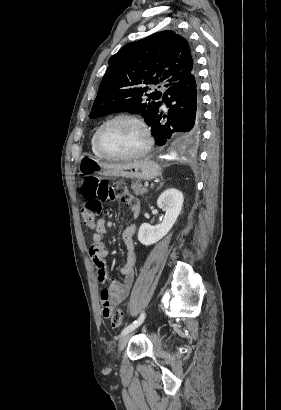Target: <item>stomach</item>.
Returning a JSON list of instances; mask_svg holds the SVG:
<instances>
[{
  "mask_svg": "<svg viewBox=\"0 0 281 410\" xmlns=\"http://www.w3.org/2000/svg\"><path fill=\"white\" fill-rule=\"evenodd\" d=\"M79 173L150 180L161 175V169L157 163L149 159L110 164L103 163L92 156H82L79 160Z\"/></svg>",
  "mask_w": 281,
  "mask_h": 410,
  "instance_id": "obj_1",
  "label": "stomach"
}]
</instances>
